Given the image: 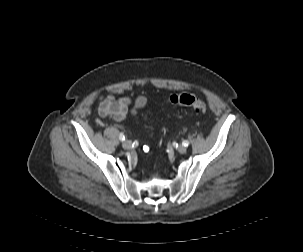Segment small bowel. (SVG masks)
<instances>
[{
  "mask_svg": "<svg viewBox=\"0 0 303 252\" xmlns=\"http://www.w3.org/2000/svg\"><path fill=\"white\" fill-rule=\"evenodd\" d=\"M147 104V98L144 95H138L132 99L130 97L116 98L113 95L103 97L98 104V112L101 116H111L121 121L128 115H135Z\"/></svg>",
  "mask_w": 303,
  "mask_h": 252,
  "instance_id": "1",
  "label": "small bowel"
}]
</instances>
